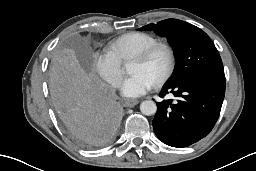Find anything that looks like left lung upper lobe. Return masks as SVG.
Instances as JSON below:
<instances>
[{
	"mask_svg": "<svg viewBox=\"0 0 256 171\" xmlns=\"http://www.w3.org/2000/svg\"><path fill=\"white\" fill-rule=\"evenodd\" d=\"M138 30L155 31L166 37L174 48L177 64L174 74L166 84L177 83L193 74L224 73L222 60L210 37L192 24L166 19Z\"/></svg>",
	"mask_w": 256,
	"mask_h": 171,
	"instance_id": "left-lung-upper-lobe-1",
	"label": "left lung upper lobe"
}]
</instances>
